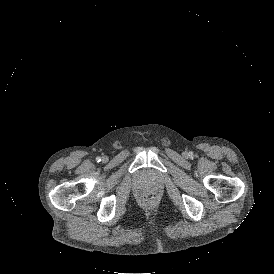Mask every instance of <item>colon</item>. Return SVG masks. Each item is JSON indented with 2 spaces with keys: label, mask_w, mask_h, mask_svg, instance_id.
I'll list each match as a JSON object with an SVG mask.
<instances>
[{
  "label": "colon",
  "mask_w": 274,
  "mask_h": 274,
  "mask_svg": "<svg viewBox=\"0 0 274 274\" xmlns=\"http://www.w3.org/2000/svg\"><path fill=\"white\" fill-rule=\"evenodd\" d=\"M159 201V194L156 191H149L148 193H142L139 196V203L142 206L155 207Z\"/></svg>",
  "instance_id": "5ec220e1"
}]
</instances>
